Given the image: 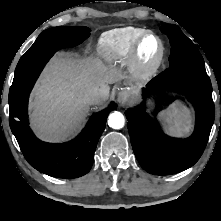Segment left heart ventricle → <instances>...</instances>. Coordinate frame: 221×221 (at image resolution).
I'll list each match as a JSON object with an SVG mask.
<instances>
[{"label":"left heart ventricle","instance_id":"b2bd125f","mask_svg":"<svg viewBox=\"0 0 221 221\" xmlns=\"http://www.w3.org/2000/svg\"><path fill=\"white\" fill-rule=\"evenodd\" d=\"M159 44L153 37H149L145 40L142 46V57L145 61L151 62L155 59L158 54Z\"/></svg>","mask_w":221,"mask_h":221}]
</instances>
